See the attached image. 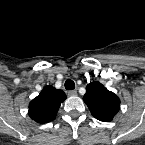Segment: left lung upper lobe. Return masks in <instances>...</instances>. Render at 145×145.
<instances>
[{
	"label": "left lung upper lobe",
	"instance_id": "obj_1",
	"mask_svg": "<svg viewBox=\"0 0 145 145\" xmlns=\"http://www.w3.org/2000/svg\"><path fill=\"white\" fill-rule=\"evenodd\" d=\"M92 115L103 122H110L120 110V99L107 90L101 83L92 82L87 85L83 97Z\"/></svg>",
	"mask_w": 145,
	"mask_h": 145
}]
</instances>
